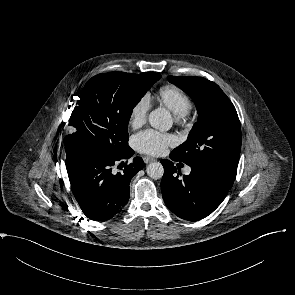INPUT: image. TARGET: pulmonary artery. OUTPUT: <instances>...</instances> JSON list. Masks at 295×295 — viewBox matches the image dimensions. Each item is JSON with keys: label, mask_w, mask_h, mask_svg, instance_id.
<instances>
[{"label": "pulmonary artery", "mask_w": 295, "mask_h": 295, "mask_svg": "<svg viewBox=\"0 0 295 295\" xmlns=\"http://www.w3.org/2000/svg\"><path fill=\"white\" fill-rule=\"evenodd\" d=\"M190 171H191V169H190V168H186V169H185V174H189V173H190Z\"/></svg>", "instance_id": "1"}]
</instances>
